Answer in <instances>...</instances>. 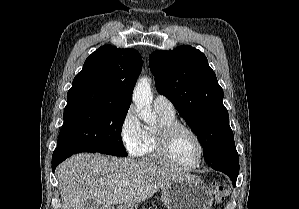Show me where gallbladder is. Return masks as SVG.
I'll return each instance as SVG.
<instances>
[{"instance_id":"gallbladder-1","label":"gallbladder","mask_w":299,"mask_h":209,"mask_svg":"<svg viewBox=\"0 0 299 209\" xmlns=\"http://www.w3.org/2000/svg\"><path fill=\"white\" fill-rule=\"evenodd\" d=\"M82 209H100V208H99V204L96 201L89 199L84 203Z\"/></svg>"}]
</instances>
